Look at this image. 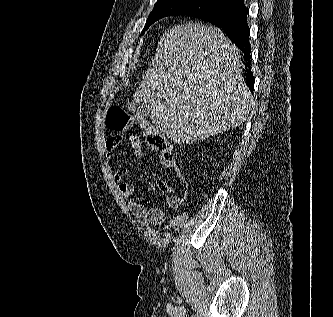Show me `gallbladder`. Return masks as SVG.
I'll return each mask as SVG.
<instances>
[{
    "label": "gallbladder",
    "mask_w": 333,
    "mask_h": 317,
    "mask_svg": "<svg viewBox=\"0 0 333 317\" xmlns=\"http://www.w3.org/2000/svg\"><path fill=\"white\" fill-rule=\"evenodd\" d=\"M128 108L133 115L145 116L147 115V108L144 104L132 101L128 104Z\"/></svg>",
    "instance_id": "obj_1"
}]
</instances>
